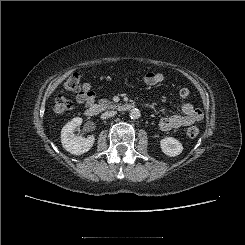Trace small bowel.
I'll return each mask as SVG.
<instances>
[{
    "mask_svg": "<svg viewBox=\"0 0 245 245\" xmlns=\"http://www.w3.org/2000/svg\"><path fill=\"white\" fill-rule=\"evenodd\" d=\"M164 75L160 72H148L144 76V82L148 86H155L162 83ZM95 99V93L92 89V85L86 82L82 86V91L77 94L76 101L80 104H90ZM202 110L194 107L191 103H185L182 106V115L173 114L170 116L163 117L159 122V127L162 131H169L180 127L189 126L202 120Z\"/></svg>",
    "mask_w": 245,
    "mask_h": 245,
    "instance_id": "small-bowel-1",
    "label": "small bowel"
}]
</instances>
